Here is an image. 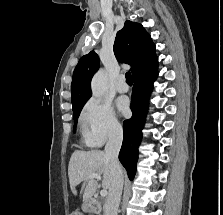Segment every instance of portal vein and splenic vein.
Listing matches in <instances>:
<instances>
[{
	"label": "portal vein and splenic vein",
	"mask_w": 223,
	"mask_h": 215,
	"mask_svg": "<svg viewBox=\"0 0 223 215\" xmlns=\"http://www.w3.org/2000/svg\"><path fill=\"white\" fill-rule=\"evenodd\" d=\"M88 177H95V179H101V175H99V173H90ZM100 195H103V197H105V195H107V189H101Z\"/></svg>",
	"instance_id": "portal-vein-and-splenic-vein-1"
}]
</instances>
